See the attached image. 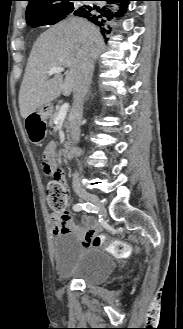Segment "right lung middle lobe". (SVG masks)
<instances>
[{
  "instance_id": "dd1d6c3e",
  "label": "right lung middle lobe",
  "mask_w": 183,
  "mask_h": 329,
  "mask_svg": "<svg viewBox=\"0 0 183 329\" xmlns=\"http://www.w3.org/2000/svg\"><path fill=\"white\" fill-rule=\"evenodd\" d=\"M72 1L73 0H69L63 4L56 6L55 9L53 10L54 11L53 15L50 18H48L46 20H42V21H33L28 24L32 27H38V26H42V25H52V24H55V23L61 21L68 14H70L74 11V6H73Z\"/></svg>"
}]
</instances>
